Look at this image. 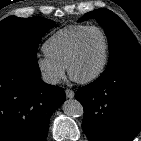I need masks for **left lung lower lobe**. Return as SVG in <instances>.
I'll return each mask as SVG.
<instances>
[{
    "instance_id": "obj_1",
    "label": "left lung lower lobe",
    "mask_w": 141,
    "mask_h": 141,
    "mask_svg": "<svg viewBox=\"0 0 141 141\" xmlns=\"http://www.w3.org/2000/svg\"><path fill=\"white\" fill-rule=\"evenodd\" d=\"M90 141H131L141 130V63L119 65L80 88Z\"/></svg>"
}]
</instances>
